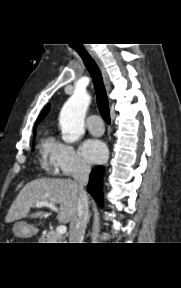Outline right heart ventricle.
<instances>
[{"mask_svg": "<svg viewBox=\"0 0 181 288\" xmlns=\"http://www.w3.org/2000/svg\"><path fill=\"white\" fill-rule=\"evenodd\" d=\"M51 142H52V140H50V139H45L42 141L41 148H42L43 154L47 153V149H48Z\"/></svg>", "mask_w": 181, "mask_h": 288, "instance_id": "e07e8e85", "label": "right heart ventricle"}]
</instances>
